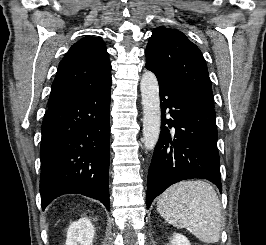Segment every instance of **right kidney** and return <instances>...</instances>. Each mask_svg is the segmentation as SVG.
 Instances as JSON below:
<instances>
[{"instance_id": "1", "label": "right kidney", "mask_w": 266, "mask_h": 245, "mask_svg": "<svg viewBox=\"0 0 266 245\" xmlns=\"http://www.w3.org/2000/svg\"><path fill=\"white\" fill-rule=\"evenodd\" d=\"M73 225L75 245H93L94 227L90 219H79Z\"/></svg>"}]
</instances>
